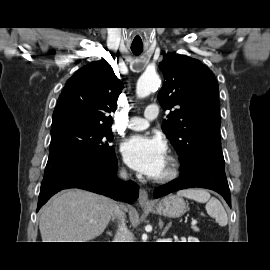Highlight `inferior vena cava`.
I'll return each mask as SVG.
<instances>
[{
  "label": "inferior vena cava",
  "instance_id": "602c4592",
  "mask_svg": "<svg viewBox=\"0 0 270 270\" xmlns=\"http://www.w3.org/2000/svg\"><path fill=\"white\" fill-rule=\"evenodd\" d=\"M119 177L123 180H127L128 174L125 171V169H122L119 172ZM124 206L123 205H117L113 214L112 219H117L120 221V224L118 225L117 233L114 237V242H129L130 239V231L128 230L126 223H125V213H124Z\"/></svg>",
  "mask_w": 270,
  "mask_h": 270
}]
</instances>
